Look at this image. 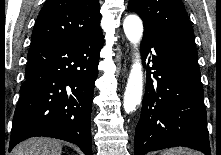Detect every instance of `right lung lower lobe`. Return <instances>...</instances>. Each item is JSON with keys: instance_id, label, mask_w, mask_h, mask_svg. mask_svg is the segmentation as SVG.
Returning a JSON list of instances; mask_svg holds the SVG:
<instances>
[{"instance_id": "obj_1", "label": "right lung lower lobe", "mask_w": 221, "mask_h": 155, "mask_svg": "<svg viewBox=\"0 0 221 155\" xmlns=\"http://www.w3.org/2000/svg\"><path fill=\"white\" fill-rule=\"evenodd\" d=\"M103 40L100 31L31 45L9 151L29 137L46 136L92 155L91 108Z\"/></svg>"}]
</instances>
